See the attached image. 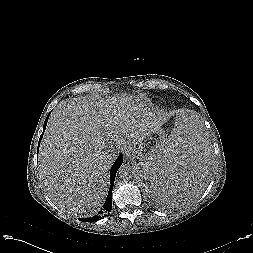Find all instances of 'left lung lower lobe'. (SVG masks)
Wrapping results in <instances>:
<instances>
[{"label": "left lung lower lobe", "instance_id": "obj_1", "mask_svg": "<svg viewBox=\"0 0 253 253\" xmlns=\"http://www.w3.org/2000/svg\"><path fill=\"white\" fill-rule=\"evenodd\" d=\"M161 184H164V182H161ZM158 200V199H157ZM158 201H162V202H164L163 200H158Z\"/></svg>", "mask_w": 253, "mask_h": 253}]
</instances>
